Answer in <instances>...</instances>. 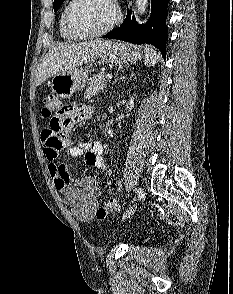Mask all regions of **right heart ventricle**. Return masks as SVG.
<instances>
[{"label": "right heart ventricle", "mask_w": 233, "mask_h": 294, "mask_svg": "<svg viewBox=\"0 0 233 294\" xmlns=\"http://www.w3.org/2000/svg\"><path fill=\"white\" fill-rule=\"evenodd\" d=\"M68 4L63 8L60 17H59V32L62 38L65 40H76L77 38L74 37L72 34L68 32L64 24V14Z\"/></svg>", "instance_id": "right-heart-ventricle-1"}]
</instances>
